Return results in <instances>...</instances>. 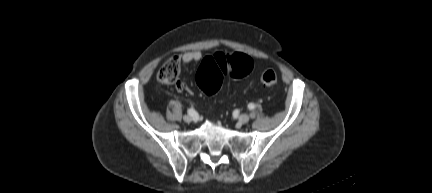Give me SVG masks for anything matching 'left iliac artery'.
<instances>
[{
  "label": "left iliac artery",
  "instance_id": "obj_1",
  "mask_svg": "<svg viewBox=\"0 0 432 193\" xmlns=\"http://www.w3.org/2000/svg\"><path fill=\"white\" fill-rule=\"evenodd\" d=\"M248 108H249L250 110H252V109L255 108V105H254L253 103H249V104H248Z\"/></svg>",
  "mask_w": 432,
  "mask_h": 193
}]
</instances>
